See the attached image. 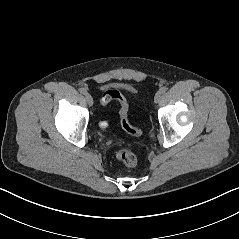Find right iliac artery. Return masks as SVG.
Segmentation results:
<instances>
[{
  "instance_id": "1",
  "label": "right iliac artery",
  "mask_w": 239,
  "mask_h": 239,
  "mask_svg": "<svg viewBox=\"0 0 239 239\" xmlns=\"http://www.w3.org/2000/svg\"><path fill=\"white\" fill-rule=\"evenodd\" d=\"M79 91H80V93H82L84 95L87 93V89L86 88H80Z\"/></svg>"
}]
</instances>
